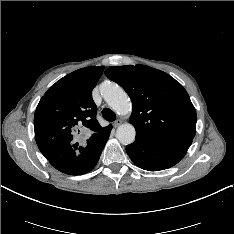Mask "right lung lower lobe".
Here are the masks:
<instances>
[{"label":"right lung lower lobe","mask_w":234,"mask_h":234,"mask_svg":"<svg viewBox=\"0 0 234 234\" xmlns=\"http://www.w3.org/2000/svg\"><path fill=\"white\" fill-rule=\"evenodd\" d=\"M111 127L98 136L78 156L67 161L50 162L57 170L70 174L80 175L89 172L97 164L101 152L110 136Z\"/></svg>","instance_id":"obj_1"}]
</instances>
